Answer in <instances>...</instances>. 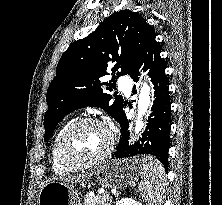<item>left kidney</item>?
I'll list each match as a JSON object with an SVG mask.
<instances>
[{
    "mask_svg": "<svg viewBox=\"0 0 222 205\" xmlns=\"http://www.w3.org/2000/svg\"><path fill=\"white\" fill-rule=\"evenodd\" d=\"M116 205H142V204L131 199V198H123V199L117 201Z\"/></svg>",
    "mask_w": 222,
    "mask_h": 205,
    "instance_id": "1",
    "label": "left kidney"
}]
</instances>
